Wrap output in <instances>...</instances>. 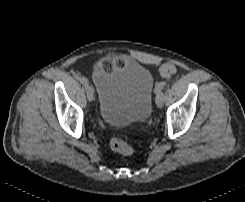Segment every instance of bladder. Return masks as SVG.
Segmentation results:
<instances>
[{"label": "bladder", "mask_w": 245, "mask_h": 202, "mask_svg": "<svg viewBox=\"0 0 245 202\" xmlns=\"http://www.w3.org/2000/svg\"><path fill=\"white\" fill-rule=\"evenodd\" d=\"M97 90V110L102 120L115 127L142 124L152 111L156 85L150 71L133 61L112 70L99 68L92 74Z\"/></svg>", "instance_id": "bladder-1"}]
</instances>
